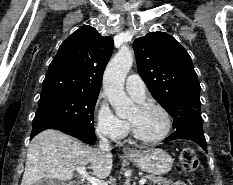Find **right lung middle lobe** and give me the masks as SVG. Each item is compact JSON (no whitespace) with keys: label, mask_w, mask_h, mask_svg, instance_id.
Here are the masks:
<instances>
[{"label":"right lung middle lobe","mask_w":233,"mask_h":185,"mask_svg":"<svg viewBox=\"0 0 233 185\" xmlns=\"http://www.w3.org/2000/svg\"><path fill=\"white\" fill-rule=\"evenodd\" d=\"M98 95L67 90L42 91L31 138L49 128L94 132L93 113Z\"/></svg>","instance_id":"obj_1"}]
</instances>
